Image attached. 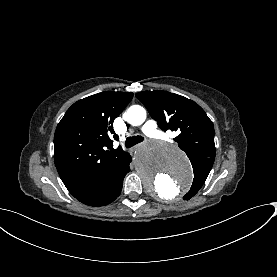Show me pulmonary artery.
<instances>
[{
  "label": "pulmonary artery",
  "mask_w": 277,
  "mask_h": 277,
  "mask_svg": "<svg viewBox=\"0 0 277 277\" xmlns=\"http://www.w3.org/2000/svg\"><path fill=\"white\" fill-rule=\"evenodd\" d=\"M142 132L148 137L155 138L157 141L171 139L173 135L171 130H166L164 132L159 131L158 127H155V123L152 120L145 121L142 127Z\"/></svg>",
  "instance_id": "obj_1"
}]
</instances>
